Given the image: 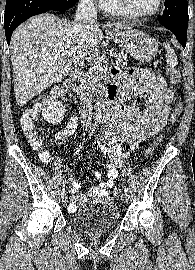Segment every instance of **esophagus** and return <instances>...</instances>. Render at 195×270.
<instances>
[{
    "label": "esophagus",
    "mask_w": 195,
    "mask_h": 270,
    "mask_svg": "<svg viewBox=\"0 0 195 270\" xmlns=\"http://www.w3.org/2000/svg\"><path fill=\"white\" fill-rule=\"evenodd\" d=\"M106 28H112L113 25L110 23V22H105V25H104Z\"/></svg>",
    "instance_id": "1"
}]
</instances>
